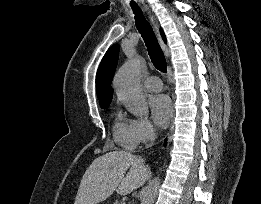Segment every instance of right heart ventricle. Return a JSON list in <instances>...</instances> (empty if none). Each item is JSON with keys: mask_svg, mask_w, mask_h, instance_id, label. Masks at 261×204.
<instances>
[{"mask_svg": "<svg viewBox=\"0 0 261 204\" xmlns=\"http://www.w3.org/2000/svg\"><path fill=\"white\" fill-rule=\"evenodd\" d=\"M112 131L116 143L128 149L135 147L132 136L131 120L124 118L121 113L116 114Z\"/></svg>", "mask_w": 261, "mask_h": 204, "instance_id": "e07e8e85", "label": "right heart ventricle"}]
</instances>
